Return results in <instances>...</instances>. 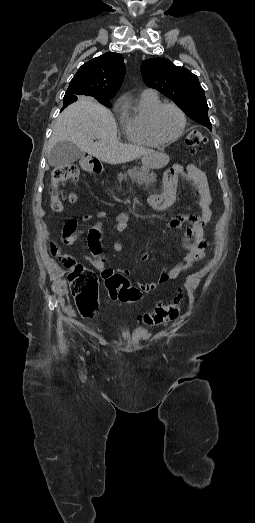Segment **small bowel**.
I'll return each instance as SVG.
<instances>
[{"mask_svg": "<svg viewBox=\"0 0 255 523\" xmlns=\"http://www.w3.org/2000/svg\"><path fill=\"white\" fill-rule=\"evenodd\" d=\"M177 171L195 188L197 196V206L200 210L199 214H183L172 218L168 223L169 229H177L184 223H189L183 235V245L186 248V253L182 259L173 267L165 268L157 278L150 282L139 283L138 287L141 291L149 293L155 290L158 286L163 285L169 281L176 279L182 272L192 267L193 263L200 260L205 255L207 242L204 238L205 226L212 218V198L210 187L206 175L200 171L193 164H189L186 168L179 167ZM175 198L174 192L171 190L165 196L156 195L150 198L152 208L160 210L169 206ZM93 216L86 214L83 217L84 222L92 220ZM97 218H106L105 212H99ZM127 213H121L117 216L116 232L122 233L128 227ZM84 231L78 230L77 221L69 219L63 228L62 240L66 245L75 244ZM87 245L90 255H86L85 259L105 278L114 273V271L107 267V259L102 252L101 241L103 238V231L100 223L90 227L87 232ZM114 249L120 252L124 249V244L120 241L114 244ZM149 254L142 255V260H148ZM121 274L129 275L128 270H119Z\"/></svg>", "mask_w": 255, "mask_h": 523, "instance_id": "obj_1", "label": "small bowel"}]
</instances>
